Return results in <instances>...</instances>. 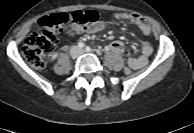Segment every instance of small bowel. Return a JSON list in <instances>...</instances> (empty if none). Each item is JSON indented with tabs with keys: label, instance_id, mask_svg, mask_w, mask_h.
Returning a JSON list of instances; mask_svg holds the SVG:
<instances>
[{
	"label": "small bowel",
	"instance_id": "obj_1",
	"mask_svg": "<svg viewBox=\"0 0 194 133\" xmlns=\"http://www.w3.org/2000/svg\"><path fill=\"white\" fill-rule=\"evenodd\" d=\"M113 19L118 21H124L129 24H133L138 27L144 35H149L151 32V27L149 23L143 19L141 16L137 14H129V13H114ZM105 25L103 23H98L89 27L90 33H97L101 31ZM108 49L116 52L122 53L124 50V45L121 41H113L109 46ZM153 48L151 44L147 41L143 42L140 46V53L137 57H129L127 60L128 66L133 67L134 70L139 69L145 66L148 62L149 56L152 54Z\"/></svg>",
	"mask_w": 194,
	"mask_h": 133
}]
</instances>
